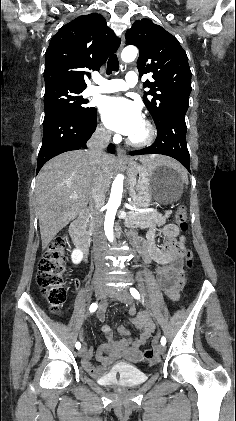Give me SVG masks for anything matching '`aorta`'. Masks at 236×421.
I'll use <instances>...</instances> for the list:
<instances>
[{"label": "aorta", "instance_id": "1", "mask_svg": "<svg viewBox=\"0 0 236 421\" xmlns=\"http://www.w3.org/2000/svg\"><path fill=\"white\" fill-rule=\"evenodd\" d=\"M137 52L138 48H136V46H125L121 52V58L124 62H132V60L136 58ZM122 192L123 180H120L117 176L112 184L110 198L107 202V213L105 215L104 223L105 235L110 243H113L114 241L113 225L117 208L121 204Z\"/></svg>", "mask_w": 236, "mask_h": 421}]
</instances>
